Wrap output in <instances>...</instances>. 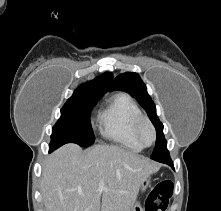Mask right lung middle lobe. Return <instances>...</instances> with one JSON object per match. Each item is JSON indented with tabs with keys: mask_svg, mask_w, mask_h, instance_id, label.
<instances>
[{
	"mask_svg": "<svg viewBox=\"0 0 221 211\" xmlns=\"http://www.w3.org/2000/svg\"><path fill=\"white\" fill-rule=\"evenodd\" d=\"M101 97H79L64 104L61 117L52 128L50 151L66 143H76L83 147L94 143L90 113Z\"/></svg>",
	"mask_w": 221,
	"mask_h": 211,
	"instance_id": "1",
	"label": "right lung middle lobe"
}]
</instances>
